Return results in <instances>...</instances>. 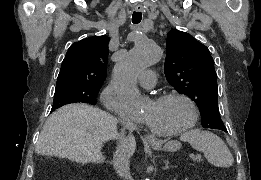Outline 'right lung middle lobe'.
I'll use <instances>...</instances> for the list:
<instances>
[{
  "label": "right lung middle lobe",
  "instance_id": "dd1d6c3e",
  "mask_svg": "<svg viewBox=\"0 0 261 180\" xmlns=\"http://www.w3.org/2000/svg\"><path fill=\"white\" fill-rule=\"evenodd\" d=\"M102 85L68 84L56 86L52 111L63 105L82 102L95 105Z\"/></svg>",
  "mask_w": 261,
  "mask_h": 180
}]
</instances>
